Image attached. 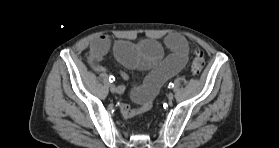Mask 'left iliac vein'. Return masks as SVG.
Segmentation results:
<instances>
[{
  "mask_svg": "<svg viewBox=\"0 0 279 148\" xmlns=\"http://www.w3.org/2000/svg\"><path fill=\"white\" fill-rule=\"evenodd\" d=\"M169 101H172L174 99V94L173 93H169L167 96Z\"/></svg>",
  "mask_w": 279,
  "mask_h": 148,
  "instance_id": "obj_1",
  "label": "left iliac vein"
}]
</instances>
